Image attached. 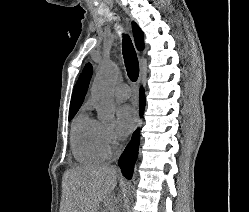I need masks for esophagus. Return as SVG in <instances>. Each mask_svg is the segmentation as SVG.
Wrapping results in <instances>:
<instances>
[{
    "instance_id": "34e87169",
    "label": "esophagus",
    "mask_w": 249,
    "mask_h": 212,
    "mask_svg": "<svg viewBox=\"0 0 249 212\" xmlns=\"http://www.w3.org/2000/svg\"><path fill=\"white\" fill-rule=\"evenodd\" d=\"M140 80H141V79L139 78V80H138V85L140 84ZM140 123H141V122H140V119L138 118V124H137V125L139 126Z\"/></svg>"
}]
</instances>
